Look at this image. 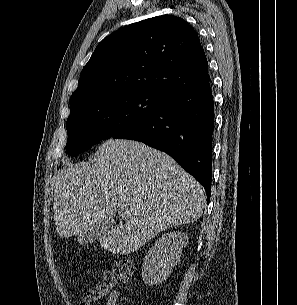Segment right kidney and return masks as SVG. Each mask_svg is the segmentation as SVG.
Returning a JSON list of instances; mask_svg holds the SVG:
<instances>
[{"mask_svg":"<svg viewBox=\"0 0 297 305\" xmlns=\"http://www.w3.org/2000/svg\"><path fill=\"white\" fill-rule=\"evenodd\" d=\"M188 235L170 232L162 235L144 258L142 279L149 286L162 283L180 260L183 247L188 243Z\"/></svg>","mask_w":297,"mask_h":305,"instance_id":"right-kidney-1","label":"right kidney"}]
</instances>
